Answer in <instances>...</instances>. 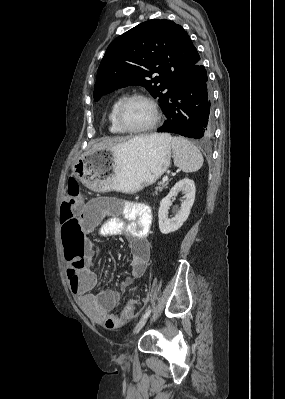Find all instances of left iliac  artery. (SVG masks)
<instances>
[{
	"instance_id": "1",
	"label": "left iliac artery",
	"mask_w": 285,
	"mask_h": 399,
	"mask_svg": "<svg viewBox=\"0 0 285 399\" xmlns=\"http://www.w3.org/2000/svg\"><path fill=\"white\" fill-rule=\"evenodd\" d=\"M150 313H151V308H148L146 312L142 315L141 320L147 318L150 315Z\"/></svg>"
}]
</instances>
